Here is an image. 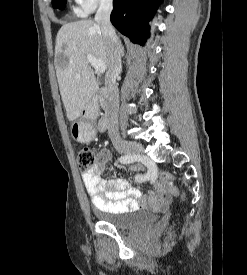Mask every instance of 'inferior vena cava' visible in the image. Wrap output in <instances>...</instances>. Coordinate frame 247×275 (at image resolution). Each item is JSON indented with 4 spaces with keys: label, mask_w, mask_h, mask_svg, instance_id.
<instances>
[{
    "label": "inferior vena cava",
    "mask_w": 247,
    "mask_h": 275,
    "mask_svg": "<svg viewBox=\"0 0 247 275\" xmlns=\"http://www.w3.org/2000/svg\"><path fill=\"white\" fill-rule=\"evenodd\" d=\"M112 7V0H103L96 13L95 21L101 28L110 54L109 68L105 76V83L109 90L111 102L108 134L113 144H119L121 142L118 127L119 91L116 79L122 71L121 56L123 54V47L110 22Z\"/></svg>",
    "instance_id": "1"
}]
</instances>
